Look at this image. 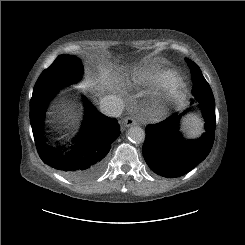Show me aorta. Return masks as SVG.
<instances>
[{
	"label": "aorta",
	"instance_id": "762f6f07",
	"mask_svg": "<svg viewBox=\"0 0 245 245\" xmlns=\"http://www.w3.org/2000/svg\"><path fill=\"white\" fill-rule=\"evenodd\" d=\"M127 136L133 143H142L145 140V132L138 126L131 127L127 132Z\"/></svg>",
	"mask_w": 245,
	"mask_h": 245
}]
</instances>
